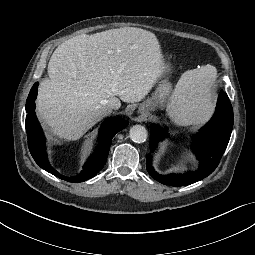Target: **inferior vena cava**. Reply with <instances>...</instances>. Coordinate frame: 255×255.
Segmentation results:
<instances>
[{
  "instance_id": "602c4592",
  "label": "inferior vena cava",
  "mask_w": 255,
  "mask_h": 255,
  "mask_svg": "<svg viewBox=\"0 0 255 255\" xmlns=\"http://www.w3.org/2000/svg\"><path fill=\"white\" fill-rule=\"evenodd\" d=\"M107 106L110 108V109H119L120 106H121V102L118 98L116 97H113V98H110L109 100H107Z\"/></svg>"
}]
</instances>
